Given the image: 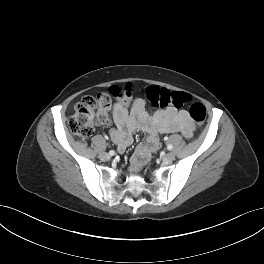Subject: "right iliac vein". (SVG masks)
<instances>
[{"label":"right iliac vein","mask_w":264,"mask_h":264,"mask_svg":"<svg viewBox=\"0 0 264 264\" xmlns=\"http://www.w3.org/2000/svg\"><path fill=\"white\" fill-rule=\"evenodd\" d=\"M100 158L102 159V160H104V161H108V160H110V155L108 154V153H101L100 154Z\"/></svg>","instance_id":"right-iliac-vein-1"}]
</instances>
